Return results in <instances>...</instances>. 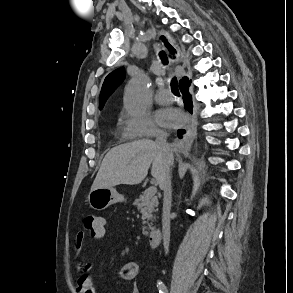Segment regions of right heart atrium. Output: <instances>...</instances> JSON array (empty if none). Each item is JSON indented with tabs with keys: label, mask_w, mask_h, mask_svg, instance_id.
Here are the masks:
<instances>
[{
	"label": "right heart atrium",
	"mask_w": 293,
	"mask_h": 293,
	"mask_svg": "<svg viewBox=\"0 0 293 293\" xmlns=\"http://www.w3.org/2000/svg\"><path fill=\"white\" fill-rule=\"evenodd\" d=\"M120 123L128 138L158 137L164 135L149 114L133 115L127 110L120 113Z\"/></svg>",
	"instance_id": "d8ad5b80"
}]
</instances>
